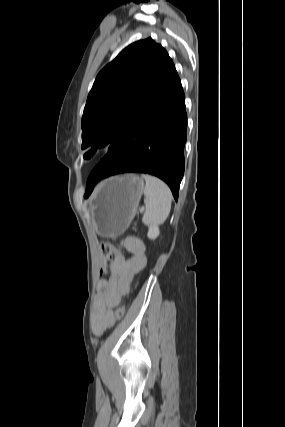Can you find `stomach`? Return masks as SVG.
<instances>
[{"label":"stomach","mask_w":285,"mask_h":427,"mask_svg":"<svg viewBox=\"0 0 285 427\" xmlns=\"http://www.w3.org/2000/svg\"><path fill=\"white\" fill-rule=\"evenodd\" d=\"M144 181L136 175L116 176L96 189L90 206L92 223L98 235L122 234L136 215L144 191Z\"/></svg>","instance_id":"obj_1"}]
</instances>
